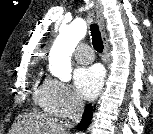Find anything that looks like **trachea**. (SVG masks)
Masks as SVG:
<instances>
[{"label": "trachea", "instance_id": "1", "mask_svg": "<svg viewBox=\"0 0 153 134\" xmlns=\"http://www.w3.org/2000/svg\"><path fill=\"white\" fill-rule=\"evenodd\" d=\"M90 31H91V36H92L93 47L97 52L101 53L103 51L104 46H103V41L101 38V34L99 31L98 25L95 23H92L90 25Z\"/></svg>", "mask_w": 153, "mask_h": 134}]
</instances>
